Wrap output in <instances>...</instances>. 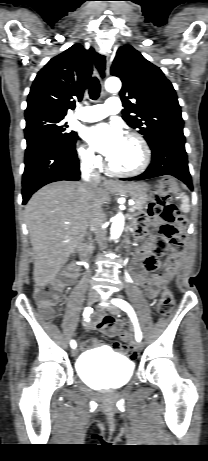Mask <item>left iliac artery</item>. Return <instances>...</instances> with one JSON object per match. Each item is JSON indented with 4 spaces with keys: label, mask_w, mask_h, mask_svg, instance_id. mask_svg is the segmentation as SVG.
<instances>
[{
    "label": "left iliac artery",
    "mask_w": 208,
    "mask_h": 461,
    "mask_svg": "<svg viewBox=\"0 0 208 461\" xmlns=\"http://www.w3.org/2000/svg\"><path fill=\"white\" fill-rule=\"evenodd\" d=\"M112 303L114 305L120 307L123 311L128 313V315L130 316V318H131V320H132V322L134 323V326H135L136 340L141 341L142 333H141L139 325H138L136 314H135L134 310L132 309V307L126 301H124L122 299H113Z\"/></svg>",
    "instance_id": "44dca946"
}]
</instances>
